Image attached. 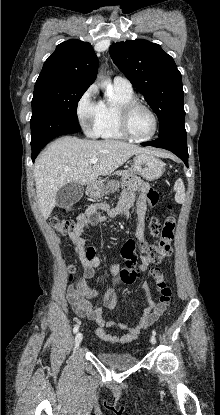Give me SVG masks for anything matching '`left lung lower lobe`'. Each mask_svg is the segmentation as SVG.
<instances>
[{
    "mask_svg": "<svg viewBox=\"0 0 220 415\" xmlns=\"http://www.w3.org/2000/svg\"><path fill=\"white\" fill-rule=\"evenodd\" d=\"M141 145L169 150L177 155L188 167V149L184 124L177 125L164 135L160 136L158 139L150 142H144Z\"/></svg>",
    "mask_w": 220,
    "mask_h": 415,
    "instance_id": "obj_1",
    "label": "left lung lower lobe"
}]
</instances>
